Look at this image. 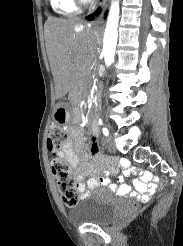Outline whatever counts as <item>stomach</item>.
Wrapping results in <instances>:
<instances>
[{
	"label": "stomach",
	"instance_id": "obj_1",
	"mask_svg": "<svg viewBox=\"0 0 183 246\" xmlns=\"http://www.w3.org/2000/svg\"><path fill=\"white\" fill-rule=\"evenodd\" d=\"M70 115L67 107L62 103L56 107L54 112V119L58 123H67Z\"/></svg>",
	"mask_w": 183,
	"mask_h": 246
}]
</instances>
